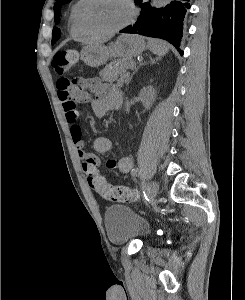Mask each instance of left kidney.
I'll use <instances>...</instances> for the list:
<instances>
[{"label":"left kidney","instance_id":"1","mask_svg":"<svg viewBox=\"0 0 245 300\" xmlns=\"http://www.w3.org/2000/svg\"><path fill=\"white\" fill-rule=\"evenodd\" d=\"M139 96H140L141 102L143 103L144 107L150 108L152 106V103L155 100L156 91L151 86L146 87L140 91Z\"/></svg>","mask_w":245,"mask_h":300}]
</instances>
